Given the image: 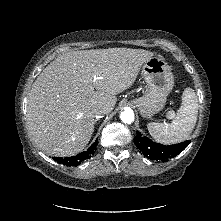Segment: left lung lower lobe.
I'll return each mask as SVG.
<instances>
[{
    "instance_id": "obj_1",
    "label": "left lung lower lobe",
    "mask_w": 221,
    "mask_h": 221,
    "mask_svg": "<svg viewBox=\"0 0 221 221\" xmlns=\"http://www.w3.org/2000/svg\"><path fill=\"white\" fill-rule=\"evenodd\" d=\"M134 143L143 155L149 159L165 161L181 153L189 145L190 141L166 146L155 143L148 137L143 136L140 132H137Z\"/></svg>"
}]
</instances>
